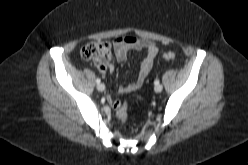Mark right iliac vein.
<instances>
[{"label":"right iliac vein","instance_id":"1","mask_svg":"<svg viewBox=\"0 0 248 165\" xmlns=\"http://www.w3.org/2000/svg\"><path fill=\"white\" fill-rule=\"evenodd\" d=\"M97 90L102 92L105 90V85L103 83L97 84Z\"/></svg>","mask_w":248,"mask_h":165}]
</instances>
